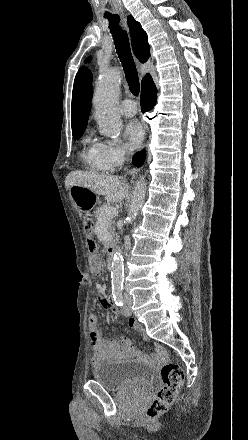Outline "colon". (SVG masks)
Segmentation results:
<instances>
[{
  "instance_id": "1",
  "label": "colon",
  "mask_w": 248,
  "mask_h": 440,
  "mask_svg": "<svg viewBox=\"0 0 248 440\" xmlns=\"http://www.w3.org/2000/svg\"><path fill=\"white\" fill-rule=\"evenodd\" d=\"M83 226L88 239L89 264L93 272H98L101 262L96 254L95 243L91 239L93 222L90 219L83 221ZM162 386L157 392L155 399L147 409V416L155 418L165 413L174 402L176 395L183 384L185 372L175 363H167L161 368Z\"/></svg>"
}]
</instances>
